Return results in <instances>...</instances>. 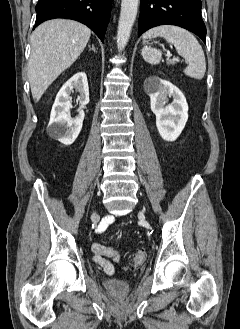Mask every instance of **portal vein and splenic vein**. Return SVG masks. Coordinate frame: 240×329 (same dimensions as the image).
I'll list each match as a JSON object with an SVG mask.
<instances>
[{"mask_svg":"<svg viewBox=\"0 0 240 329\" xmlns=\"http://www.w3.org/2000/svg\"><path fill=\"white\" fill-rule=\"evenodd\" d=\"M171 56H172V54H170V53L168 52V53H167V57L170 58ZM172 61H177V59H176V58H173Z\"/></svg>","mask_w":240,"mask_h":329,"instance_id":"18ae733b","label":"portal vein and splenic vein"}]
</instances>
